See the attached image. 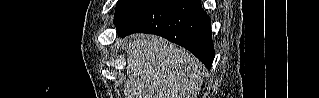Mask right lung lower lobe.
<instances>
[{
    "label": "right lung lower lobe",
    "mask_w": 319,
    "mask_h": 98,
    "mask_svg": "<svg viewBox=\"0 0 319 98\" xmlns=\"http://www.w3.org/2000/svg\"><path fill=\"white\" fill-rule=\"evenodd\" d=\"M200 0H149L116 25L117 34H156L179 44L211 68L214 47L210 18Z\"/></svg>",
    "instance_id": "1"
}]
</instances>
